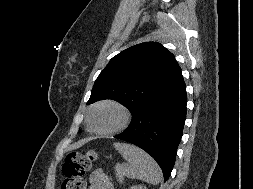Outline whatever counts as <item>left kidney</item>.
<instances>
[{
  "instance_id": "1",
  "label": "left kidney",
  "mask_w": 253,
  "mask_h": 189,
  "mask_svg": "<svg viewBox=\"0 0 253 189\" xmlns=\"http://www.w3.org/2000/svg\"><path fill=\"white\" fill-rule=\"evenodd\" d=\"M129 189H147V188L142 185H135V186L130 187Z\"/></svg>"
}]
</instances>
